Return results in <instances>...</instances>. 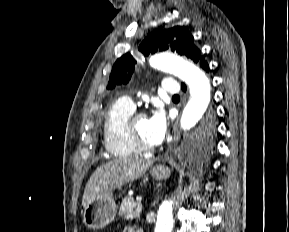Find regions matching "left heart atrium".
I'll return each instance as SVG.
<instances>
[{"instance_id": "1", "label": "left heart atrium", "mask_w": 289, "mask_h": 232, "mask_svg": "<svg viewBox=\"0 0 289 232\" xmlns=\"http://www.w3.org/2000/svg\"><path fill=\"white\" fill-rule=\"evenodd\" d=\"M148 134L154 145L160 144L167 132V120L164 112L160 109L155 110L147 119Z\"/></svg>"}]
</instances>
